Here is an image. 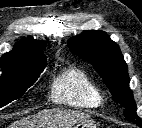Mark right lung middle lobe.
I'll use <instances>...</instances> for the list:
<instances>
[{"instance_id":"dd1d6c3e","label":"right lung middle lobe","mask_w":142,"mask_h":128,"mask_svg":"<svg viewBox=\"0 0 142 128\" xmlns=\"http://www.w3.org/2000/svg\"><path fill=\"white\" fill-rule=\"evenodd\" d=\"M46 61L33 64L13 78L0 79V108L23 96L40 76Z\"/></svg>"}]
</instances>
